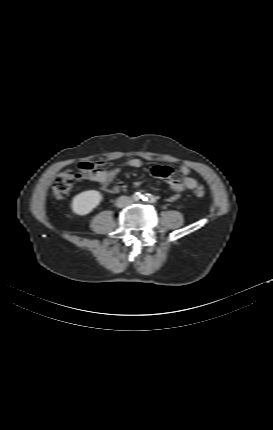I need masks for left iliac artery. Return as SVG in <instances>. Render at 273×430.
I'll return each mask as SVG.
<instances>
[{"mask_svg":"<svg viewBox=\"0 0 273 430\" xmlns=\"http://www.w3.org/2000/svg\"><path fill=\"white\" fill-rule=\"evenodd\" d=\"M142 200L149 203H156V198L152 194H145Z\"/></svg>","mask_w":273,"mask_h":430,"instance_id":"1","label":"left iliac artery"}]
</instances>
